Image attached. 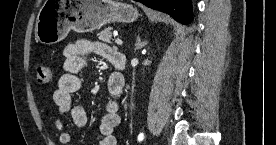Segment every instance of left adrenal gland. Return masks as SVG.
<instances>
[{
  "label": "left adrenal gland",
  "mask_w": 276,
  "mask_h": 145,
  "mask_svg": "<svg viewBox=\"0 0 276 145\" xmlns=\"http://www.w3.org/2000/svg\"><path fill=\"white\" fill-rule=\"evenodd\" d=\"M147 41L145 42H142L140 37L138 36L137 37V41H136V44H135V51L138 50V49H141L142 47H144L145 45H147Z\"/></svg>",
  "instance_id": "obj_1"
}]
</instances>
